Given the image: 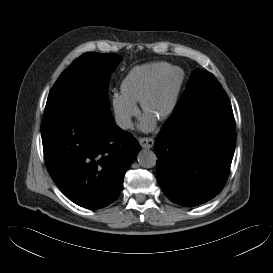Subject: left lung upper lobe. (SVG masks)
Wrapping results in <instances>:
<instances>
[{
	"mask_svg": "<svg viewBox=\"0 0 273 273\" xmlns=\"http://www.w3.org/2000/svg\"><path fill=\"white\" fill-rule=\"evenodd\" d=\"M206 85H213L217 89L212 87H206ZM220 92L222 93L225 91L222 88L221 84L213 76V74L201 69H196L191 74L188 85L186 86V90L179 99L175 109L184 107L186 104L193 101L196 95Z\"/></svg>",
	"mask_w": 273,
	"mask_h": 273,
	"instance_id": "obj_1",
	"label": "left lung upper lobe"
}]
</instances>
